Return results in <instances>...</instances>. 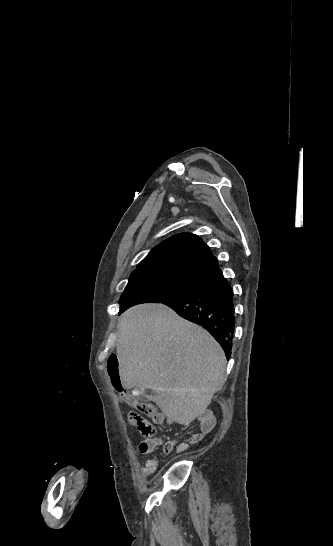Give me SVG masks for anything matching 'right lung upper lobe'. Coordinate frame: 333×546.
Wrapping results in <instances>:
<instances>
[{"label": "right lung upper lobe", "mask_w": 333, "mask_h": 546, "mask_svg": "<svg viewBox=\"0 0 333 546\" xmlns=\"http://www.w3.org/2000/svg\"><path fill=\"white\" fill-rule=\"evenodd\" d=\"M219 264L210 248L197 235H175L159 245L137 265L132 275L168 273L202 280Z\"/></svg>", "instance_id": "1"}]
</instances>
